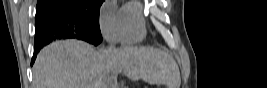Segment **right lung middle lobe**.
Returning a JSON list of instances; mask_svg holds the SVG:
<instances>
[{
  "instance_id": "right-lung-middle-lobe-1",
  "label": "right lung middle lobe",
  "mask_w": 267,
  "mask_h": 88,
  "mask_svg": "<svg viewBox=\"0 0 267 88\" xmlns=\"http://www.w3.org/2000/svg\"><path fill=\"white\" fill-rule=\"evenodd\" d=\"M104 0H38L37 7L57 10L86 27L100 31L99 11Z\"/></svg>"
}]
</instances>
